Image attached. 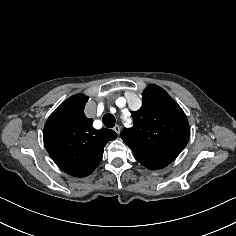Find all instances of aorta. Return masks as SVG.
Segmentation results:
<instances>
[{
    "instance_id": "obj_1",
    "label": "aorta",
    "mask_w": 236,
    "mask_h": 236,
    "mask_svg": "<svg viewBox=\"0 0 236 236\" xmlns=\"http://www.w3.org/2000/svg\"><path fill=\"white\" fill-rule=\"evenodd\" d=\"M126 121L129 122V118H126Z\"/></svg>"
}]
</instances>
